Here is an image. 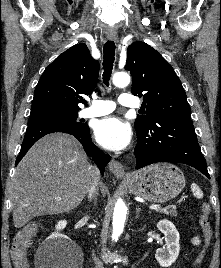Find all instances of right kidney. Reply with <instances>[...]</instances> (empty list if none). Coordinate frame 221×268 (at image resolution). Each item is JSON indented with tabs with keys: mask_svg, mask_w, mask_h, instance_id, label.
Here are the masks:
<instances>
[{
	"mask_svg": "<svg viewBox=\"0 0 221 268\" xmlns=\"http://www.w3.org/2000/svg\"><path fill=\"white\" fill-rule=\"evenodd\" d=\"M67 225V221L66 220H61L57 223V225L55 226L57 232L52 233L49 237L48 240H57V239H69L67 236L60 234L59 232L61 230H63Z\"/></svg>",
	"mask_w": 221,
	"mask_h": 268,
	"instance_id": "right-kidney-1",
	"label": "right kidney"
}]
</instances>
